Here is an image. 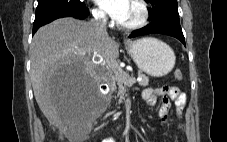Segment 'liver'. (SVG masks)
I'll return each instance as SVG.
<instances>
[{
    "instance_id": "obj_1",
    "label": "liver",
    "mask_w": 227,
    "mask_h": 142,
    "mask_svg": "<svg viewBox=\"0 0 227 142\" xmlns=\"http://www.w3.org/2000/svg\"><path fill=\"white\" fill-rule=\"evenodd\" d=\"M118 56L113 39L97 34L89 22L61 18L41 27L30 46L31 81L49 123L69 134L81 116L82 100L109 76ZM64 61H87L85 78H77L83 80L82 88H57L51 73H57Z\"/></svg>"
}]
</instances>
